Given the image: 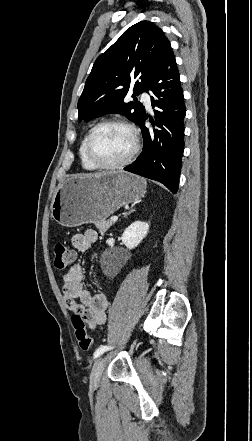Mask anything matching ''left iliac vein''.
<instances>
[{
  "instance_id": "1",
  "label": "left iliac vein",
  "mask_w": 252,
  "mask_h": 441,
  "mask_svg": "<svg viewBox=\"0 0 252 441\" xmlns=\"http://www.w3.org/2000/svg\"><path fill=\"white\" fill-rule=\"evenodd\" d=\"M106 360H107L106 357H100L94 363L90 375L91 386L96 387L99 384Z\"/></svg>"
}]
</instances>
